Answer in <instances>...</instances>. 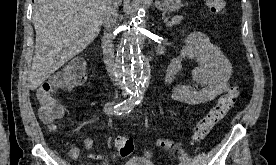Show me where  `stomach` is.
I'll return each mask as SVG.
<instances>
[{
  "label": "stomach",
  "instance_id": "stomach-1",
  "mask_svg": "<svg viewBox=\"0 0 276 165\" xmlns=\"http://www.w3.org/2000/svg\"><path fill=\"white\" fill-rule=\"evenodd\" d=\"M154 5L161 11L174 12L182 5L180 0H155Z\"/></svg>",
  "mask_w": 276,
  "mask_h": 165
}]
</instances>
